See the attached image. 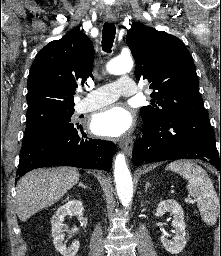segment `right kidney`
<instances>
[{
  "label": "right kidney",
  "instance_id": "right-kidney-1",
  "mask_svg": "<svg viewBox=\"0 0 221 256\" xmlns=\"http://www.w3.org/2000/svg\"><path fill=\"white\" fill-rule=\"evenodd\" d=\"M84 207L81 201L71 200L68 201L65 205L59 207L56 213L53 215L51 224H52V237L53 243L56 250L63 256H75L79 250V241L72 243L70 247H66L63 243V221L66 216H83Z\"/></svg>",
  "mask_w": 221,
  "mask_h": 256
}]
</instances>
